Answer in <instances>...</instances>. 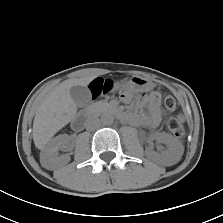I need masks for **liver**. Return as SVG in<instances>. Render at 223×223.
<instances>
[{
  "label": "liver",
  "instance_id": "obj_1",
  "mask_svg": "<svg viewBox=\"0 0 223 223\" xmlns=\"http://www.w3.org/2000/svg\"><path fill=\"white\" fill-rule=\"evenodd\" d=\"M95 77L65 80L42 101L33 122V141L38 149H44L50 139L75 117L77 106L70 95L71 87L86 86Z\"/></svg>",
  "mask_w": 223,
  "mask_h": 223
}]
</instances>
